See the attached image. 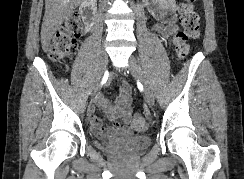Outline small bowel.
Masks as SVG:
<instances>
[{
	"mask_svg": "<svg viewBox=\"0 0 244 179\" xmlns=\"http://www.w3.org/2000/svg\"><path fill=\"white\" fill-rule=\"evenodd\" d=\"M172 12V6L169 3H160L157 7L156 18L158 23L153 30L162 38L169 37L175 30L176 26L170 22L169 15ZM131 86L127 82H122L120 90L113 102L98 97V102L107 114V126H103L102 120L95 115L94 109H90V118L94 129L105 137L115 135L129 136L135 131L132 126L131 115Z\"/></svg>",
	"mask_w": 244,
	"mask_h": 179,
	"instance_id": "small-bowel-1",
	"label": "small bowel"
}]
</instances>
